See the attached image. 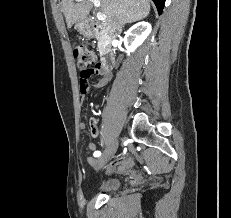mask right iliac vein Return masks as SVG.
<instances>
[{
  "mask_svg": "<svg viewBox=\"0 0 231 218\" xmlns=\"http://www.w3.org/2000/svg\"><path fill=\"white\" fill-rule=\"evenodd\" d=\"M118 145L119 141L115 140L105 149L104 153L97 160L96 170L102 168L113 157L117 151Z\"/></svg>",
  "mask_w": 231,
  "mask_h": 218,
  "instance_id": "63e3f726",
  "label": "right iliac vein"
}]
</instances>
